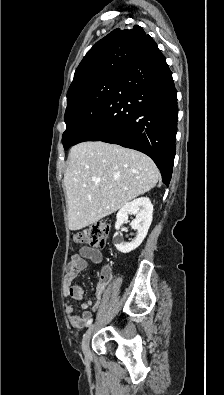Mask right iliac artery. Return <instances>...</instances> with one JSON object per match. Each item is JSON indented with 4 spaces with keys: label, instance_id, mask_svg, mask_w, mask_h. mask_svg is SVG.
<instances>
[{
    "label": "right iliac artery",
    "instance_id": "82829eb1",
    "mask_svg": "<svg viewBox=\"0 0 224 395\" xmlns=\"http://www.w3.org/2000/svg\"><path fill=\"white\" fill-rule=\"evenodd\" d=\"M92 321H93V319H89V320L87 321V323H86V326L88 327L89 325H91Z\"/></svg>",
    "mask_w": 224,
    "mask_h": 395
}]
</instances>
